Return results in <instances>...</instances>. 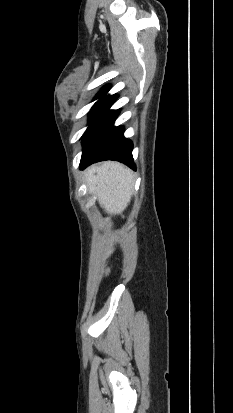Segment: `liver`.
<instances>
[{
	"label": "liver",
	"mask_w": 233,
	"mask_h": 413,
	"mask_svg": "<svg viewBox=\"0 0 233 413\" xmlns=\"http://www.w3.org/2000/svg\"><path fill=\"white\" fill-rule=\"evenodd\" d=\"M88 191L97 195L99 205L108 214H121L133 196L134 175L123 164L105 161L85 171ZM112 242L106 256L112 253Z\"/></svg>",
	"instance_id": "1"
}]
</instances>
